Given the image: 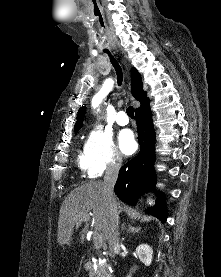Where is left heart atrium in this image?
Segmentation results:
<instances>
[{"label":"left heart atrium","mask_w":221,"mask_h":277,"mask_svg":"<svg viewBox=\"0 0 221 277\" xmlns=\"http://www.w3.org/2000/svg\"><path fill=\"white\" fill-rule=\"evenodd\" d=\"M119 147L124 154H132L136 148L137 143L134 135L130 130H123L118 137Z\"/></svg>","instance_id":"39dd6f15"}]
</instances>
